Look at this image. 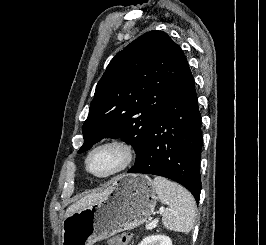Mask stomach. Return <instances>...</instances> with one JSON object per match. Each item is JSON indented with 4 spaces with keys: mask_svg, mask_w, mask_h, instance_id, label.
I'll return each instance as SVG.
<instances>
[{
    "mask_svg": "<svg viewBox=\"0 0 266 245\" xmlns=\"http://www.w3.org/2000/svg\"><path fill=\"white\" fill-rule=\"evenodd\" d=\"M106 201L63 221L62 245H93L121 231L137 229L155 211L157 197L147 175H118Z\"/></svg>",
    "mask_w": 266,
    "mask_h": 245,
    "instance_id": "1",
    "label": "stomach"
}]
</instances>
